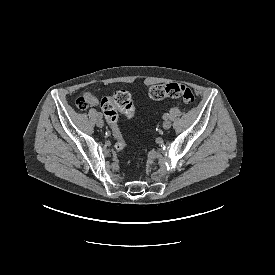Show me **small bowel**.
<instances>
[{
	"label": "small bowel",
	"instance_id": "small-bowel-1",
	"mask_svg": "<svg viewBox=\"0 0 275 275\" xmlns=\"http://www.w3.org/2000/svg\"><path fill=\"white\" fill-rule=\"evenodd\" d=\"M85 99L90 105H97L98 104V99L91 95L90 93L85 94Z\"/></svg>",
	"mask_w": 275,
	"mask_h": 275
}]
</instances>
